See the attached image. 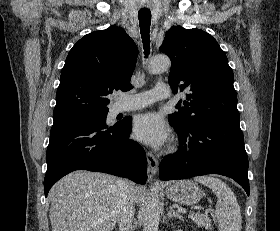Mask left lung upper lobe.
I'll return each mask as SVG.
<instances>
[{"label": "left lung upper lobe", "instance_id": "obj_1", "mask_svg": "<svg viewBox=\"0 0 280 231\" xmlns=\"http://www.w3.org/2000/svg\"><path fill=\"white\" fill-rule=\"evenodd\" d=\"M160 50L171 59L169 84L174 91H189L169 121L187 129L210 121H240L233 71L217 41L199 29L172 27Z\"/></svg>", "mask_w": 280, "mask_h": 231}]
</instances>
